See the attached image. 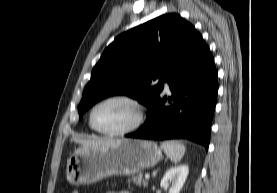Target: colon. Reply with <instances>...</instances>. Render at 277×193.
<instances>
[{"mask_svg":"<svg viewBox=\"0 0 277 193\" xmlns=\"http://www.w3.org/2000/svg\"><path fill=\"white\" fill-rule=\"evenodd\" d=\"M72 193H79L77 190L73 191Z\"/></svg>","mask_w":277,"mask_h":193,"instance_id":"colon-1","label":"colon"}]
</instances>
